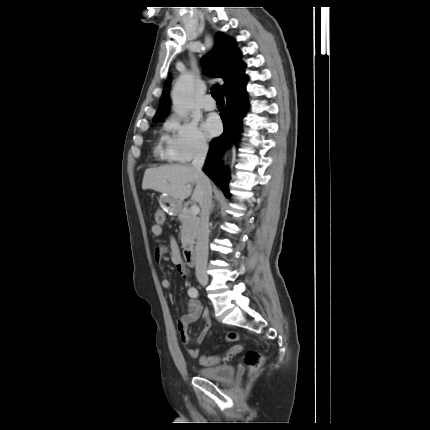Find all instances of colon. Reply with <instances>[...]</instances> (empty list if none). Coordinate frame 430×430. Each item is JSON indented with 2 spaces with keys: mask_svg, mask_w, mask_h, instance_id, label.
Here are the masks:
<instances>
[{
  "mask_svg": "<svg viewBox=\"0 0 430 430\" xmlns=\"http://www.w3.org/2000/svg\"><path fill=\"white\" fill-rule=\"evenodd\" d=\"M154 219L157 225H161L164 223L165 215L161 210H157L154 213ZM238 339H239V335L236 332H228L225 336V340L230 343L236 342ZM239 351L240 350L238 349V347L234 346L230 350L225 352L223 355L202 356L200 358V362L204 366L217 365L222 361L229 360ZM263 360H264L263 354L256 350H249L244 356V362L248 368L249 373L252 375L258 371V369L263 363Z\"/></svg>",
  "mask_w": 430,
  "mask_h": 430,
  "instance_id": "colon-1",
  "label": "colon"
}]
</instances>
